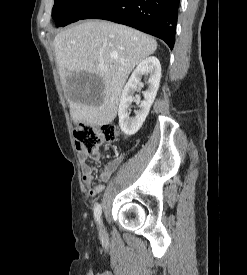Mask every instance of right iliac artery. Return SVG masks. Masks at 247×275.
I'll use <instances>...</instances> for the list:
<instances>
[{
  "label": "right iliac artery",
  "instance_id": "82829eb1",
  "mask_svg": "<svg viewBox=\"0 0 247 275\" xmlns=\"http://www.w3.org/2000/svg\"><path fill=\"white\" fill-rule=\"evenodd\" d=\"M94 216H95L96 221L100 222L101 205L98 203L94 207Z\"/></svg>",
  "mask_w": 247,
  "mask_h": 275
}]
</instances>
